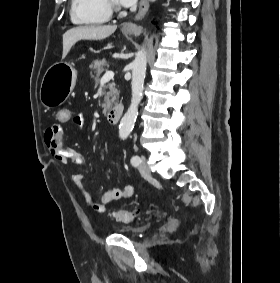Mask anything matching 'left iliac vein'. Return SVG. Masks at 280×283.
Masks as SVG:
<instances>
[{"instance_id": "obj_1", "label": "left iliac vein", "mask_w": 280, "mask_h": 283, "mask_svg": "<svg viewBox=\"0 0 280 283\" xmlns=\"http://www.w3.org/2000/svg\"><path fill=\"white\" fill-rule=\"evenodd\" d=\"M138 170L143 177H149L151 175L149 165L147 164L146 158L144 156L140 157Z\"/></svg>"}]
</instances>
